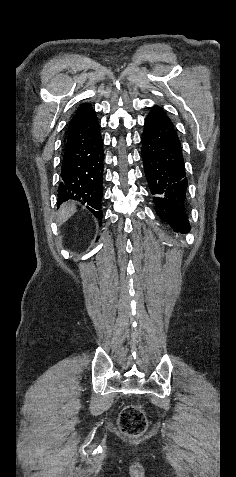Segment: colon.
<instances>
[{
	"label": "colon",
	"instance_id": "obj_1",
	"mask_svg": "<svg viewBox=\"0 0 236 477\" xmlns=\"http://www.w3.org/2000/svg\"><path fill=\"white\" fill-rule=\"evenodd\" d=\"M118 425L123 434L136 437L145 432L147 428V418L140 406L128 405L122 410Z\"/></svg>",
	"mask_w": 236,
	"mask_h": 477
}]
</instances>
